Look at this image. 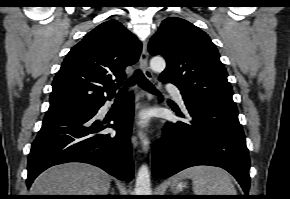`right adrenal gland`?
Instances as JSON below:
<instances>
[{"label": "right adrenal gland", "mask_w": 290, "mask_h": 199, "mask_svg": "<svg viewBox=\"0 0 290 199\" xmlns=\"http://www.w3.org/2000/svg\"><path fill=\"white\" fill-rule=\"evenodd\" d=\"M111 195H114V189L113 188L111 189Z\"/></svg>", "instance_id": "1"}]
</instances>
